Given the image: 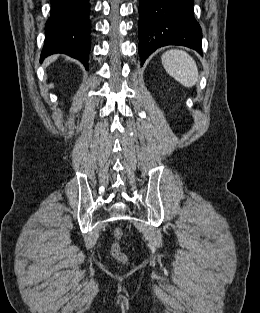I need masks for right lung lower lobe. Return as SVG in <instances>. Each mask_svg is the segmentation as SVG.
I'll list each match as a JSON object with an SVG mask.
<instances>
[{
	"mask_svg": "<svg viewBox=\"0 0 260 313\" xmlns=\"http://www.w3.org/2000/svg\"><path fill=\"white\" fill-rule=\"evenodd\" d=\"M51 16L45 27V44L40 61L54 53H64L88 66L90 52L89 0H50Z\"/></svg>",
	"mask_w": 260,
	"mask_h": 313,
	"instance_id": "1",
	"label": "right lung lower lobe"
}]
</instances>
